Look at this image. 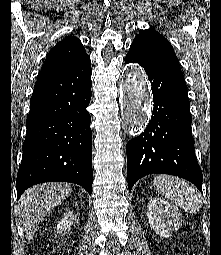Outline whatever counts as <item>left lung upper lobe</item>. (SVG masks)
I'll list each match as a JSON object with an SVG mask.
<instances>
[{
  "label": "left lung upper lobe",
  "mask_w": 221,
  "mask_h": 255,
  "mask_svg": "<svg viewBox=\"0 0 221 255\" xmlns=\"http://www.w3.org/2000/svg\"><path fill=\"white\" fill-rule=\"evenodd\" d=\"M130 50L185 83L173 47L156 30L150 28L140 31L133 40Z\"/></svg>",
  "instance_id": "5c2ea615"
}]
</instances>
